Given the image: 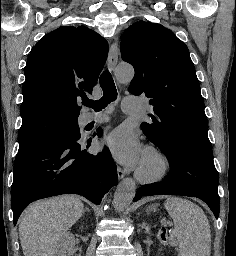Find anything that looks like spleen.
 I'll return each instance as SVG.
<instances>
[{
	"mask_svg": "<svg viewBox=\"0 0 236 256\" xmlns=\"http://www.w3.org/2000/svg\"><path fill=\"white\" fill-rule=\"evenodd\" d=\"M164 206L174 222L179 256H210L211 232L203 210L182 198H168Z\"/></svg>",
	"mask_w": 236,
	"mask_h": 256,
	"instance_id": "spleen-1",
	"label": "spleen"
}]
</instances>
